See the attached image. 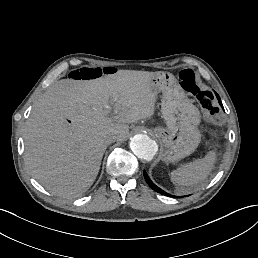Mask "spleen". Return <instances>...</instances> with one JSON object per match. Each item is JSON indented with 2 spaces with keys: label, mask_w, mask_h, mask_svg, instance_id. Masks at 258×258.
<instances>
[{
  "label": "spleen",
  "mask_w": 258,
  "mask_h": 258,
  "mask_svg": "<svg viewBox=\"0 0 258 258\" xmlns=\"http://www.w3.org/2000/svg\"><path fill=\"white\" fill-rule=\"evenodd\" d=\"M215 159V152L210 151L204 158L182 165L177 170L172 171L171 181L175 184L176 191L180 193L193 191L198 184L207 179Z\"/></svg>",
  "instance_id": "obj_1"
}]
</instances>
